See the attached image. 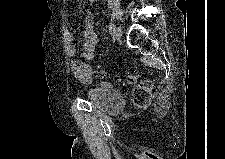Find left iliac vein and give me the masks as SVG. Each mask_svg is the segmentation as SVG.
<instances>
[{"instance_id":"obj_1","label":"left iliac vein","mask_w":225,"mask_h":159,"mask_svg":"<svg viewBox=\"0 0 225 159\" xmlns=\"http://www.w3.org/2000/svg\"><path fill=\"white\" fill-rule=\"evenodd\" d=\"M115 39H120L122 36V29L121 27H115L114 31L112 32Z\"/></svg>"}]
</instances>
